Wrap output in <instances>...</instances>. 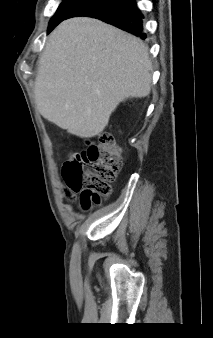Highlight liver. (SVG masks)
Masks as SVG:
<instances>
[{
    "instance_id": "obj_1",
    "label": "liver",
    "mask_w": 213,
    "mask_h": 338,
    "mask_svg": "<svg viewBox=\"0 0 213 338\" xmlns=\"http://www.w3.org/2000/svg\"><path fill=\"white\" fill-rule=\"evenodd\" d=\"M151 72L139 38L96 19H68L50 34L40 58L37 109L70 134L95 137L120 102L150 93Z\"/></svg>"
}]
</instances>
